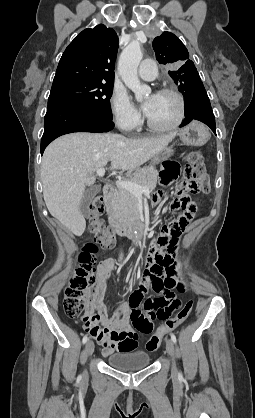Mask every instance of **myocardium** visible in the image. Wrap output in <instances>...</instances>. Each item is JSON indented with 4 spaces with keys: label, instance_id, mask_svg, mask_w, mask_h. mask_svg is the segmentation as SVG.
<instances>
[{
    "label": "myocardium",
    "instance_id": "1",
    "mask_svg": "<svg viewBox=\"0 0 255 418\" xmlns=\"http://www.w3.org/2000/svg\"><path fill=\"white\" fill-rule=\"evenodd\" d=\"M158 94H170L173 95L178 103H179V113L176 118V120L167 126H158L151 122V120L146 116V125L149 129L155 132H169L181 125L183 122L185 115H186V102L184 96L176 89L174 88H162L158 91Z\"/></svg>",
    "mask_w": 255,
    "mask_h": 418
}]
</instances>
